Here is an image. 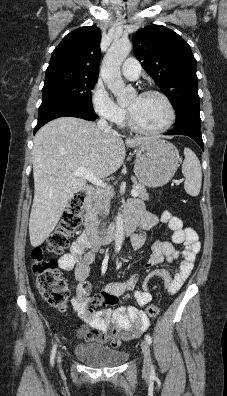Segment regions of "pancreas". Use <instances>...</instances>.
Returning a JSON list of instances; mask_svg holds the SVG:
<instances>
[{"instance_id":"obj_1","label":"pancreas","mask_w":227,"mask_h":396,"mask_svg":"<svg viewBox=\"0 0 227 396\" xmlns=\"http://www.w3.org/2000/svg\"><path fill=\"white\" fill-rule=\"evenodd\" d=\"M133 189L137 190L138 196L143 200H148L149 195L146 191V188L143 184L135 182L133 185ZM107 195L100 192L93 203L87 208V219L88 222L92 225L98 224V215L101 213V209L103 208V197ZM113 195L108 194V198H111Z\"/></svg>"}]
</instances>
